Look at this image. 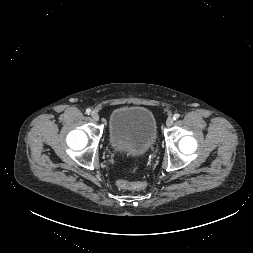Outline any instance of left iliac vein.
Listing matches in <instances>:
<instances>
[{
	"mask_svg": "<svg viewBox=\"0 0 253 253\" xmlns=\"http://www.w3.org/2000/svg\"><path fill=\"white\" fill-rule=\"evenodd\" d=\"M173 122H174V119L172 117H169L167 120H166V125L168 127L172 126L173 125Z\"/></svg>",
	"mask_w": 253,
	"mask_h": 253,
	"instance_id": "1",
	"label": "left iliac vein"
}]
</instances>
